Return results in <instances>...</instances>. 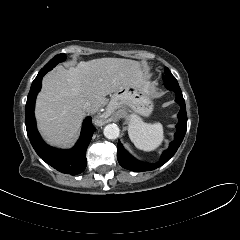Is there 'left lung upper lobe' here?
I'll use <instances>...</instances> for the list:
<instances>
[{
	"instance_id": "left-lung-upper-lobe-1",
	"label": "left lung upper lobe",
	"mask_w": 240,
	"mask_h": 240,
	"mask_svg": "<svg viewBox=\"0 0 240 240\" xmlns=\"http://www.w3.org/2000/svg\"><path fill=\"white\" fill-rule=\"evenodd\" d=\"M164 81L177 82L176 78L172 75L168 68L165 69V75L163 77Z\"/></svg>"
}]
</instances>
